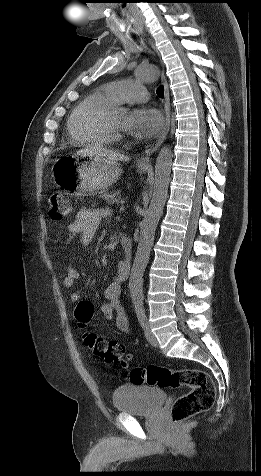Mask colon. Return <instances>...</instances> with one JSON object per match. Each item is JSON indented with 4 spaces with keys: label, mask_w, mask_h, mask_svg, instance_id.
Returning a JSON list of instances; mask_svg holds the SVG:
<instances>
[{
    "label": "colon",
    "mask_w": 261,
    "mask_h": 476,
    "mask_svg": "<svg viewBox=\"0 0 261 476\" xmlns=\"http://www.w3.org/2000/svg\"><path fill=\"white\" fill-rule=\"evenodd\" d=\"M49 216L54 220H61L72 212L70 202L61 192H53L48 198ZM94 315V306L89 301H80L75 309V319L81 328L91 322ZM83 342L92 353L106 363L119 364L127 368L129 356L125 347L114 341H106L97 335L85 332ZM130 380L134 384H148L161 388L188 387L190 392L179 396L170 409L171 421L182 423L192 416L206 411L213 406L215 400V386L211 377L199 369H171L163 366L148 365L136 367L130 371Z\"/></svg>",
    "instance_id": "5ec220e1"
}]
</instances>
